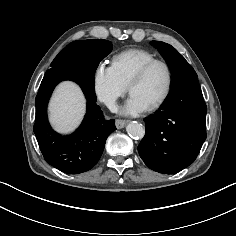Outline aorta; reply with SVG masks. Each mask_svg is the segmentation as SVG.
<instances>
[{"mask_svg": "<svg viewBox=\"0 0 236 236\" xmlns=\"http://www.w3.org/2000/svg\"><path fill=\"white\" fill-rule=\"evenodd\" d=\"M126 131L128 135L135 139H142L145 135V129L142 124L131 122L127 125Z\"/></svg>", "mask_w": 236, "mask_h": 236, "instance_id": "aorta-1", "label": "aorta"}]
</instances>
